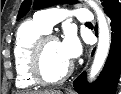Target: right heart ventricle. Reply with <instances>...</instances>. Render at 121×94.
<instances>
[{"label": "right heart ventricle", "mask_w": 121, "mask_h": 94, "mask_svg": "<svg viewBox=\"0 0 121 94\" xmlns=\"http://www.w3.org/2000/svg\"><path fill=\"white\" fill-rule=\"evenodd\" d=\"M48 31L36 20L23 23L17 32L13 57L16 71V84L22 89H30L36 86L28 70V54L33 42Z\"/></svg>", "instance_id": "right-heart-ventricle-1"}]
</instances>
